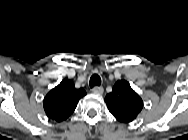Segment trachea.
Wrapping results in <instances>:
<instances>
[{
  "label": "trachea",
  "mask_w": 188,
  "mask_h": 140,
  "mask_svg": "<svg viewBox=\"0 0 188 140\" xmlns=\"http://www.w3.org/2000/svg\"><path fill=\"white\" fill-rule=\"evenodd\" d=\"M101 84V78L97 74H94L90 78L89 85L90 87L99 86Z\"/></svg>",
  "instance_id": "obj_1"
}]
</instances>
